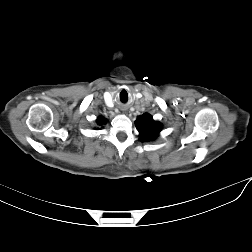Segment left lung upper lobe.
<instances>
[{
  "instance_id": "5c2ea615",
  "label": "left lung upper lobe",
  "mask_w": 252,
  "mask_h": 252,
  "mask_svg": "<svg viewBox=\"0 0 252 252\" xmlns=\"http://www.w3.org/2000/svg\"><path fill=\"white\" fill-rule=\"evenodd\" d=\"M135 125L140 133V140L143 142L153 141L162 129L161 123L154 121L148 113L138 116Z\"/></svg>"
}]
</instances>
